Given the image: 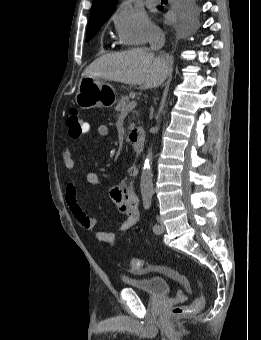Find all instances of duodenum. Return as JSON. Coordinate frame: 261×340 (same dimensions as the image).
I'll use <instances>...</instances> for the list:
<instances>
[{
	"instance_id": "obj_1",
	"label": "duodenum",
	"mask_w": 261,
	"mask_h": 340,
	"mask_svg": "<svg viewBox=\"0 0 261 340\" xmlns=\"http://www.w3.org/2000/svg\"><path fill=\"white\" fill-rule=\"evenodd\" d=\"M145 134L142 129H134L129 133V142L135 152L140 153L143 150Z\"/></svg>"
}]
</instances>
